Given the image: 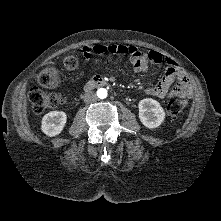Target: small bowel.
Listing matches in <instances>:
<instances>
[{"label": "small bowel", "instance_id": "1", "mask_svg": "<svg viewBox=\"0 0 221 221\" xmlns=\"http://www.w3.org/2000/svg\"><path fill=\"white\" fill-rule=\"evenodd\" d=\"M113 54L127 56L135 72L145 73L154 65H165L166 71L160 82L146 88L145 92L159 99L169 97L191 98L192 86L184 71L171 58L157 52H141L134 45L94 44L82 48V55L90 59L92 55Z\"/></svg>", "mask_w": 221, "mask_h": 221}]
</instances>
